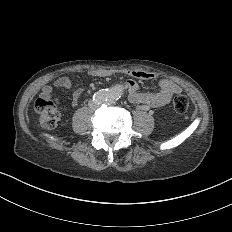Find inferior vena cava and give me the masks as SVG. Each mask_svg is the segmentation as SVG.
<instances>
[{"instance_id": "1", "label": "inferior vena cava", "mask_w": 232, "mask_h": 232, "mask_svg": "<svg viewBox=\"0 0 232 232\" xmlns=\"http://www.w3.org/2000/svg\"><path fill=\"white\" fill-rule=\"evenodd\" d=\"M89 107L92 109V110H97L98 109V104H94L93 103V100H91L89 102Z\"/></svg>"}]
</instances>
